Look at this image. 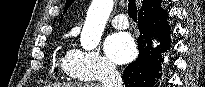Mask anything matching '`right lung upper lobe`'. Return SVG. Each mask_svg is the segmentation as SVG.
I'll use <instances>...</instances> for the list:
<instances>
[{
  "mask_svg": "<svg viewBox=\"0 0 205 87\" xmlns=\"http://www.w3.org/2000/svg\"><path fill=\"white\" fill-rule=\"evenodd\" d=\"M74 0H67L66 4H65V8H64V13L67 11V9L69 8V6L73 3ZM155 0H143V5L141 8L149 5L150 3H152ZM62 19V18H61Z\"/></svg>",
  "mask_w": 205,
  "mask_h": 87,
  "instance_id": "1",
  "label": "right lung upper lobe"
}]
</instances>
